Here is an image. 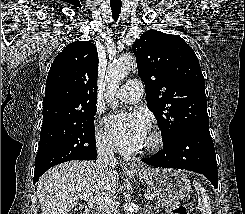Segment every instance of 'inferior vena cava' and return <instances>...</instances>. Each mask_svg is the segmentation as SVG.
<instances>
[{"instance_id": "602c4592", "label": "inferior vena cava", "mask_w": 245, "mask_h": 214, "mask_svg": "<svg viewBox=\"0 0 245 214\" xmlns=\"http://www.w3.org/2000/svg\"><path fill=\"white\" fill-rule=\"evenodd\" d=\"M98 158L96 160V166L100 169H112L117 163L112 149L106 145L103 141L98 140L96 143Z\"/></svg>"}]
</instances>
